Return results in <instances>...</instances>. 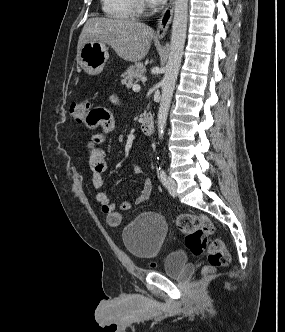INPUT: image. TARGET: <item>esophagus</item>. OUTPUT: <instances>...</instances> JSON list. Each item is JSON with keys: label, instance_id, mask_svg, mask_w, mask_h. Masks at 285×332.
Here are the masks:
<instances>
[{"label": "esophagus", "instance_id": "34e87169", "mask_svg": "<svg viewBox=\"0 0 285 332\" xmlns=\"http://www.w3.org/2000/svg\"><path fill=\"white\" fill-rule=\"evenodd\" d=\"M174 4L175 0H169V3L167 4L166 8L164 9L159 19L158 27L156 30V36L159 38H163L169 29L173 16Z\"/></svg>", "mask_w": 285, "mask_h": 332}]
</instances>
